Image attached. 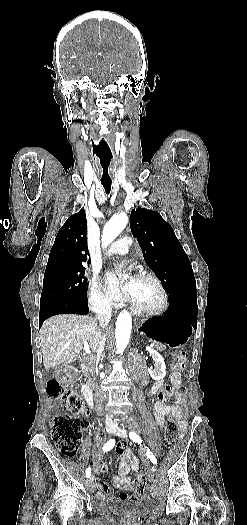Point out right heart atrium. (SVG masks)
<instances>
[{"mask_svg": "<svg viewBox=\"0 0 247 525\" xmlns=\"http://www.w3.org/2000/svg\"><path fill=\"white\" fill-rule=\"evenodd\" d=\"M88 300L94 311H107L112 305V299L102 286L98 275H94L89 284Z\"/></svg>", "mask_w": 247, "mask_h": 525, "instance_id": "d8ad5b80", "label": "right heart atrium"}]
</instances>
